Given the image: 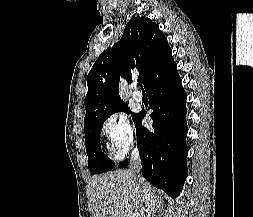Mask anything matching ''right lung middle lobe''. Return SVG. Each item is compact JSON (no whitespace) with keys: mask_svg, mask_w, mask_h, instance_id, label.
Here are the masks:
<instances>
[{"mask_svg":"<svg viewBox=\"0 0 253 217\" xmlns=\"http://www.w3.org/2000/svg\"><path fill=\"white\" fill-rule=\"evenodd\" d=\"M115 112L130 113L127 105L122 103L99 116L84 122L86 152L88 155V168L92 174L103 173L112 170L115 163L104 155L100 146V134L104 121ZM137 114L132 113V119Z\"/></svg>","mask_w":253,"mask_h":217,"instance_id":"1","label":"right lung middle lobe"}]
</instances>
